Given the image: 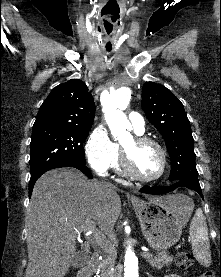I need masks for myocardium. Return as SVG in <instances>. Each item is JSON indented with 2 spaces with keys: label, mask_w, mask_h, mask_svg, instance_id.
<instances>
[{
  "label": "myocardium",
  "mask_w": 221,
  "mask_h": 277,
  "mask_svg": "<svg viewBox=\"0 0 221 277\" xmlns=\"http://www.w3.org/2000/svg\"><path fill=\"white\" fill-rule=\"evenodd\" d=\"M132 143H133V148H140L145 145H152L156 147L161 156V169L159 173L154 177L142 176L134 168L133 159H132V150L122 145L120 147V161H121V167L123 172L138 181L147 182V183L155 182V181H158L160 178H162L167 169V153L163 148V146L155 139H152L147 136H142V135L134 136L132 138Z\"/></svg>",
  "instance_id": "1"
}]
</instances>
